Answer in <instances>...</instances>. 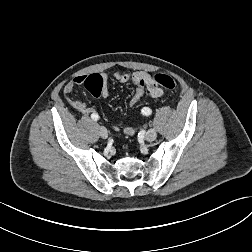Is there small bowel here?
Wrapping results in <instances>:
<instances>
[{
	"label": "small bowel",
	"instance_id": "obj_1",
	"mask_svg": "<svg viewBox=\"0 0 252 252\" xmlns=\"http://www.w3.org/2000/svg\"><path fill=\"white\" fill-rule=\"evenodd\" d=\"M86 77L87 76L85 75H79L67 82L63 87V94L65 95L68 104L76 111H78L82 115H92L93 113H95V110L92 107L86 105L80 100L69 98V95L73 92L74 87L77 85H82ZM113 78L121 83L131 82L135 85H138L139 82H143L146 85L153 101L160 100L163 95L162 88H160L158 84L154 82L153 77L147 72L137 71L132 74H124L117 71L113 74ZM107 95L108 92L107 90H105L102 96L106 97ZM112 127L115 131H120V127L116 123H112ZM123 132L127 135H132L135 132V128L126 127L123 129Z\"/></svg>",
	"mask_w": 252,
	"mask_h": 252
}]
</instances>
